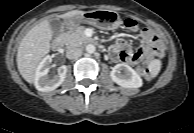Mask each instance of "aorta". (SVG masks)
<instances>
[{"instance_id":"762f6f07","label":"aorta","mask_w":194,"mask_h":133,"mask_svg":"<svg viewBox=\"0 0 194 133\" xmlns=\"http://www.w3.org/2000/svg\"><path fill=\"white\" fill-rule=\"evenodd\" d=\"M95 46L93 44H88L86 46V52L89 53V54H92L95 52Z\"/></svg>"}]
</instances>
